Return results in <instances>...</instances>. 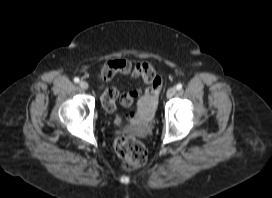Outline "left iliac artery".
I'll return each instance as SVG.
<instances>
[{
	"label": "left iliac artery",
	"instance_id": "obj_1",
	"mask_svg": "<svg viewBox=\"0 0 272 198\" xmlns=\"http://www.w3.org/2000/svg\"><path fill=\"white\" fill-rule=\"evenodd\" d=\"M176 89H177V90L182 89V84H181V83H178V84L176 85Z\"/></svg>",
	"mask_w": 272,
	"mask_h": 198
}]
</instances>
